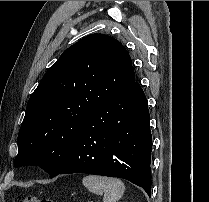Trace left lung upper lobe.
<instances>
[{
  "label": "left lung upper lobe",
  "instance_id": "obj_1",
  "mask_svg": "<svg viewBox=\"0 0 209 202\" xmlns=\"http://www.w3.org/2000/svg\"><path fill=\"white\" fill-rule=\"evenodd\" d=\"M134 82L131 58L116 39L91 34L67 48L28 101L15 166L39 165L52 177L85 118Z\"/></svg>",
  "mask_w": 209,
  "mask_h": 202
}]
</instances>
